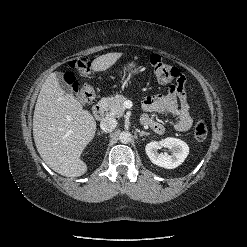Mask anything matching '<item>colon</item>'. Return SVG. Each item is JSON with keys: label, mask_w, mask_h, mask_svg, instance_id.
Returning a JSON list of instances; mask_svg holds the SVG:
<instances>
[{"label": "colon", "mask_w": 247, "mask_h": 247, "mask_svg": "<svg viewBox=\"0 0 247 247\" xmlns=\"http://www.w3.org/2000/svg\"><path fill=\"white\" fill-rule=\"evenodd\" d=\"M90 59L81 57L69 62L68 66L71 70L77 71L82 75H87L90 69ZM150 65L153 69L156 79L162 84H168L171 87L183 83L184 76L179 69L165 63L160 56L152 55L150 57ZM66 82L73 88L77 98L82 103H89L95 97V91L89 84H79L73 72L65 75ZM208 134V126L203 118H198L194 125V136L198 141L206 139Z\"/></svg>", "instance_id": "5ec220e1"}]
</instances>
